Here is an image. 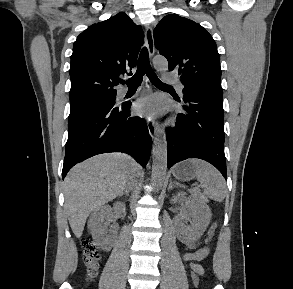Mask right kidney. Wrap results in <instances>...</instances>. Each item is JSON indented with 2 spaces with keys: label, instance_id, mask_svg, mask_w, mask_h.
<instances>
[{
  "label": "right kidney",
  "instance_id": "1",
  "mask_svg": "<svg viewBox=\"0 0 293 289\" xmlns=\"http://www.w3.org/2000/svg\"><path fill=\"white\" fill-rule=\"evenodd\" d=\"M124 207V204L120 202L114 204V208L118 211L124 209ZM111 216L112 208L106 205L94 210L88 221V228L90 229L93 238L103 246L107 245L109 241V230L104 222Z\"/></svg>",
  "mask_w": 293,
  "mask_h": 289
}]
</instances>
